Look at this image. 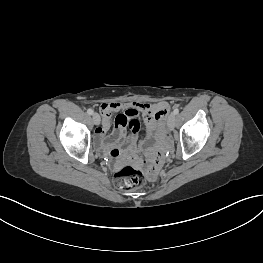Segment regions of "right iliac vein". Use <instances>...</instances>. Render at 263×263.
<instances>
[{
	"label": "right iliac vein",
	"instance_id": "1",
	"mask_svg": "<svg viewBox=\"0 0 263 263\" xmlns=\"http://www.w3.org/2000/svg\"><path fill=\"white\" fill-rule=\"evenodd\" d=\"M92 119L95 125H99L100 124V116L98 113H93L92 114Z\"/></svg>",
	"mask_w": 263,
	"mask_h": 263
}]
</instances>
